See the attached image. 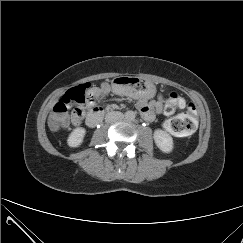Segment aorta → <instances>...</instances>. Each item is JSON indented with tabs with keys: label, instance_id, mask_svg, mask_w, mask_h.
Segmentation results:
<instances>
[{
	"label": "aorta",
	"instance_id": "obj_1",
	"mask_svg": "<svg viewBox=\"0 0 243 243\" xmlns=\"http://www.w3.org/2000/svg\"><path fill=\"white\" fill-rule=\"evenodd\" d=\"M135 116H136V113L134 111H131V110H129L125 113V118L127 120H133V119H135Z\"/></svg>",
	"mask_w": 243,
	"mask_h": 243
}]
</instances>
